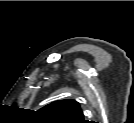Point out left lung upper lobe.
Listing matches in <instances>:
<instances>
[{"label":"left lung upper lobe","mask_w":134,"mask_h":123,"mask_svg":"<svg viewBox=\"0 0 134 123\" xmlns=\"http://www.w3.org/2000/svg\"><path fill=\"white\" fill-rule=\"evenodd\" d=\"M41 113L52 120L66 123H84V115L77 101L66 99L52 102L42 109Z\"/></svg>","instance_id":"left-lung-upper-lobe-1"}]
</instances>
